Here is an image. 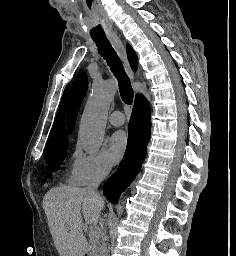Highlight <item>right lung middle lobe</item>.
Instances as JSON below:
<instances>
[{
	"label": "right lung middle lobe",
	"instance_id": "obj_1",
	"mask_svg": "<svg viewBox=\"0 0 236 256\" xmlns=\"http://www.w3.org/2000/svg\"><path fill=\"white\" fill-rule=\"evenodd\" d=\"M66 151L67 138L58 141L47 142L44 155L46 162L51 170L56 171L60 167L65 158ZM47 172L49 171L47 170Z\"/></svg>",
	"mask_w": 236,
	"mask_h": 256
}]
</instances>
